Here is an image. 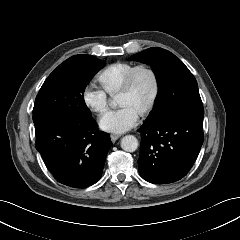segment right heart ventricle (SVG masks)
I'll use <instances>...</instances> for the list:
<instances>
[{"label":"right heart ventricle","instance_id":"right-heart-ventricle-1","mask_svg":"<svg viewBox=\"0 0 240 240\" xmlns=\"http://www.w3.org/2000/svg\"><path fill=\"white\" fill-rule=\"evenodd\" d=\"M135 66V64L118 61L108 65L98 75V81L103 90L110 94L116 95L123 85L128 72Z\"/></svg>","mask_w":240,"mask_h":240}]
</instances>
